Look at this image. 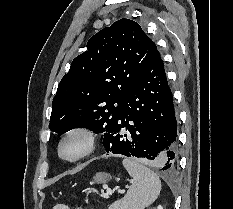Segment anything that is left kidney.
<instances>
[{"mask_svg": "<svg viewBox=\"0 0 233 209\" xmlns=\"http://www.w3.org/2000/svg\"><path fill=\"white\" fill-rule=\"evenodd\" d=\"M155 209H163V207L162 206H158L157 208H155Z\"/></svg>", "mask_w": 233, "mask_h": 209, "instance_id": "1", "label": "left kidney"}]
</instances>
